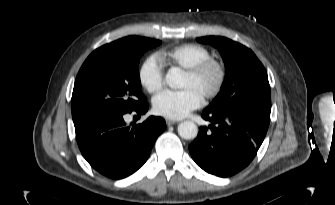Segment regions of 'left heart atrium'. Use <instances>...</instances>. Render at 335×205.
<instances>
[{"mask_svg": "<svg viewBox=\"0 0 335 205\" xmlns=\"http://www.w3.org/2000/svg\"><path fill=\"white\" fill-rule=\"evenodd\" d=\"M203 103L202 94L195 88L165 90L154 97L153 110L157 115L169 119H181Z\"/></svg>", "mask_w": 335, "mask_h": 205, "instance_id": "left-heart-atrium-1", "label": "left heart atrium"}]
</instances>
